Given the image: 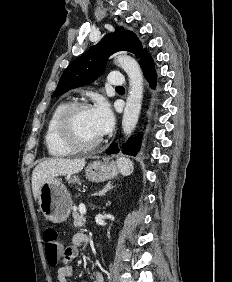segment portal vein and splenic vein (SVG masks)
Listing matches in <instances>:
<instances>
[{
    "label": "portal vein and splenic vein",
    "mask_w": 232,
    "mask_h": 282,
    "mask_svg": "<svg viewBox=\"0 0 232 282\" xmlns=\"http://www.w3.org/2000/svg\"><path fill=\"white\" fill-rule=\"evenodd\" d=\"M79 211H80V213H82V214H86V207H85V205L81 204V205L79 206Z\"/></svg>",
    "instance_id": "obj_1"
}]
</instances>
